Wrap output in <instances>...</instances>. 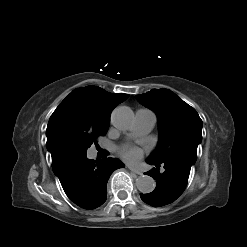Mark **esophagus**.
I'll list each match as a JSON object with an SVG mask.
<instances>
[{
    "mask_svg": "<svg viewBox=\"0 0 247 247\" xmlns=\"http://www.w3.org/2000/svg\"><path fill=\"white\" fill-rule=\"evenodd\" d=\"M128 168H129V170H131L132 172H134V173H136L138 175H141L142 174L139 170H137L136 168H134L132 166H128Z\"/></svg>",
    "mask_w": 247,
    "mask_h": 247,
    "instance_id": "obj_1",
    "label": "esophagus"
}]
</instances>
